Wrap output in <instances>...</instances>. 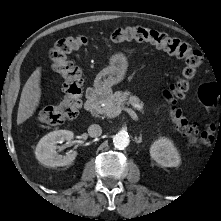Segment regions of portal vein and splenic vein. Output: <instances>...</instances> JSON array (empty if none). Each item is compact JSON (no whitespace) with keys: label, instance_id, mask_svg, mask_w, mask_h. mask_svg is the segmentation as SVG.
Here are the masks:
<instances>
[{"label":"portal vein and splenic vein","instance_id":"portal-vein-and-splenic-vein-1","mask_svg":"<svg viewBox=\"0 0 221 221\" xmlns=\"http://www.w3.org/2000/svg\"><path fill=\"white\" fill-rule=\"evenodd\" d=\"M122 110L126 111L131 116V118L133 120H135V121L138 120V116L135 113V111L131 108H128V107H118V108L112 109L109 112H107L106 115L109 118H114V117L118 116Z\"/></svg>","mask_w":221,"mask_h":221}]
</instances>
